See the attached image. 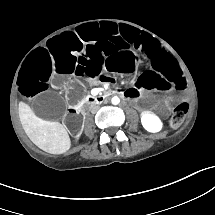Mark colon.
<instances>
[{"label":"colon","instance_id":"obj_1","mask_svg":"<svg viewBox=\"0 0 215 215\" xmlns=\"http://www.w3.org/2000/svg\"><path fill=\"white\" fill-rule=\"evenodd\" d=\"M189 109V104L186 102L178 104L172 114L171 126L176 128L180 126Z\"/></svg>","mask_w":215,"mask_h":215}]
</instances>
